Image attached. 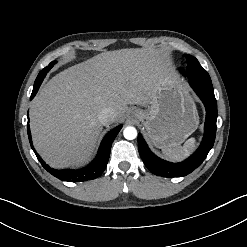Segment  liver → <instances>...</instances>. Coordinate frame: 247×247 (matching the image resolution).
<instances>
[{"mask_svg": "<svg viewBox=\"0 0 247 247\" xmlns=\"http://www.w3.org/2000/svg\"><path fill=\"white\" fill-rule=\"evenodd\" d=\"M175 80L165 56L151 48L107 51L60 72L30 105L33 144L47 164H84L102 131L100 111L111 108L115 122L127 105L147 106L157 88Z\"/></svg>", "mask_w": 247, "mask_h": 247, "instance_id": "6515ba94", "label": "liver"}]
</instances>
